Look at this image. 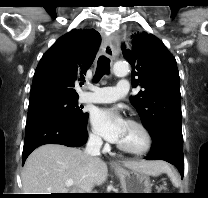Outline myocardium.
Segmentation results:
<instances>
[{"label": "myocardium", "instance_id": "f54148a6", "mask_svg": "<svg viewBox=\"0 0 208 198\" xmlns=\"http://www.w3.org/2000/svg\"><path fill=\"white\" fill-rule=\"evenodd\" d=\"M127 123L137 127L141 131L144 138V145L141 148L134 149L117 143V148L127 154L135 156H141L149 152L153 145V137L149 129L142 122L134 119H129Z\"/></svg>", "mask_w": 208, "mask_h": 198}]
</instances>
